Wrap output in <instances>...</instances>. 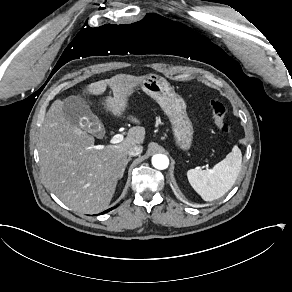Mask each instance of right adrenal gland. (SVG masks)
Returning a JSON list of instances; mask_svg holds the SVG:
<instances>
[{"instance_id": "right-adrenal-gland-1", "label": "right adrenal gland", "mask_w": 292, "mask_h": 292, "mask_svg": "<svg viewBox=\"0 0 292 292\" xmlns=\"http://www.w3.org/2000/svg\"><path fill=\"white\" fill-rule=\"evenodd\" d=\"M130 160H131V157H129V158L127 159V163H128ZM127 163H126V165H127ZM126 165L124 166V168H123V170H122V173H121V175H120V179L123 177V174H124V171H125Z\"/></svg>"}]
</instances>
